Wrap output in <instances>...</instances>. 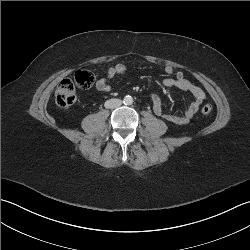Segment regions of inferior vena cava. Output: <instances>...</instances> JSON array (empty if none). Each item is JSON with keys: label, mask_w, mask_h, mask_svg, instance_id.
<instances>
[{"label": "inferior vena cava", "mask_w": 250, "mask_h": 250, "mask_svg": "<svg viewBox=\"0 0 250 250\" xmlns=\"http://www.w3.org/2000/svg\"><path fill=\"white\" fill-rule=\"evenodd\" d=\"M122 105V100L120 99H109L105 102V107L109 109H115Z\"/></svg>", "instance_id": "obj_1"}]
</instances>
